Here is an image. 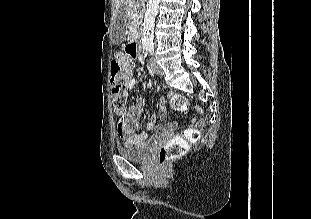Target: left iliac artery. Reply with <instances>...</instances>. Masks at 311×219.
<instances>
[{"instance_id":"obj_1","label":"left iliac artery","mask_w":311,"mask_h":219,"mask_svg":"<svg viewBox=\"0 0 311 219\" xmlns=\"http://www.w3.org/2000/svg\"><path fill=\"white\" fill-rule=\"evenodd\" d=\"M149 53L152 55L154 53V49L153 48H149L148 49Z\"/></svg>"}]
</instances>
